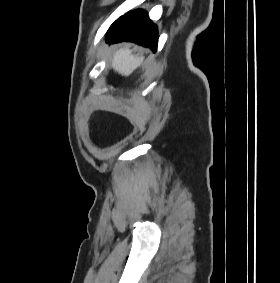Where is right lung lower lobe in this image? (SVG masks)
Masks as SVG:
<instances>
[{"label": "right lung lower lobe", "mask_w": 280, "mask_h": 283, "mask_svg": "<svg viewBox=\"0 0 280 283\" xmlns=\"http://www.w3.org/2000/svg\"><path fill=\"white\" fill-rule=\"evenodd\" d=\"M157 27L143 10L126 13L116 20L106 35L107 42H134L151 50L157 49Z\"/></svg>", "instance_id": "98d812e1"}]
</instances>
